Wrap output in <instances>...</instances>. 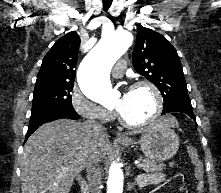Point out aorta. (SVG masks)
Segmentation results:
<instances>
[{
	"instance_id": "762f6f07",
	"label": "aorta",
	"mask_w": 221,
	"mask_h": 193,
	"mask_svg": "<svg viewBox=\"0 0 221 193\" xmlns=\"http://www.w3.org/2000/svg\"><path fill=\"white\" fill-rule=\"evenodd\" d=\"M133 36L127 31H115L105 36L86 55L78 69V83L90 100L105 104L114 97L108 72L114 63L128 50ZM124 175L120 166L112 163L109 168L107 193L123 192Z\"/></svg>"
}]
</instances>
